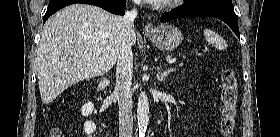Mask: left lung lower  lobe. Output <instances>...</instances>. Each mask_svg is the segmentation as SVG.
Returning a JSON list of instances; mask_svg holds the SVG:
<instances>
[{"label":"left lung lower lobe","instance_id":"0a47b994","mask_svg":"<svg viewBox=\"0 0 280 137\" xmlns=\"http://www.w3.org/2000/svg\"><path fill=\"white\" fill-rule=\"evenodd\" d=\"M182 17H215L224 21L240 39L238 20L233 5L221 2L189 4L164 14L160 22L164 23Z\"/></svg>","mask_w":280,"mask_h":137}]
</instances>
